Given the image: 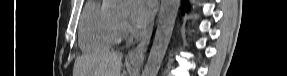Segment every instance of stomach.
Here are the masks:
<instances>
[{"label":"stomach","mask_w":287,"mask_h":76,"mask_svg":"<svg viewBox=\"0 0 287 76\" xmlns=\"http://www.w3.org/2000/svg\"><path fill=\"white\" fill-rule=\"evenodd\" d=\"M139 62L138 61H131L132 65H137Z\"/></svg>","instance_id":"1"}]
</instances>
